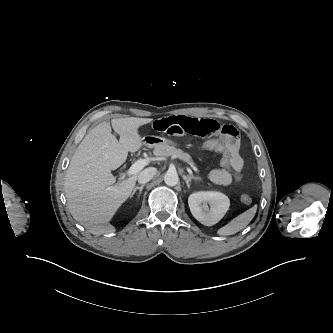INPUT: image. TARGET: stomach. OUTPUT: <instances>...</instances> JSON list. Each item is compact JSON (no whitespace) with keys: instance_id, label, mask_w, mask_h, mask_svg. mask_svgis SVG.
I'll use <instances>...</instances> for the list:
<instances>
[{"instance_id":"obj_1","label":"stomach","mask_w":333,"mask_h":333,"mask_svg":"<svg viewBox=\"0 0 333 333\" xmlns=\"http://www.w3.org/2000/svg\"><path fill=\"white\" fill-rule=\"evenodd\" d=\"M144 142L149 145V146H153V147H158L161 145H166V144H171L172 142L164 137H158V136H146V138H144Z\"/></svg>"}]
</instances>
